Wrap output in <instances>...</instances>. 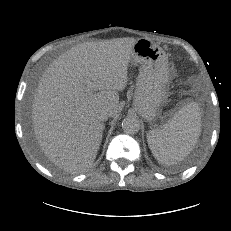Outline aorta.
Listing matches in <instances>:
<instances>
[{"label": "aorta", "instance_id": "obj_1", "mask_svg": "<svg viewBox=\"0 0 231 231\" xmlns=\"http://www.w3.org/2000/svg\"><path fill=\"white\" fill-rule=\"evenodd\" d=\"M122 129L127 134H136L140 130V122L134 117L124 118L122 121Z\"/></svg>", "mask_w": 231, "mask_h": 231}]
</instances>
